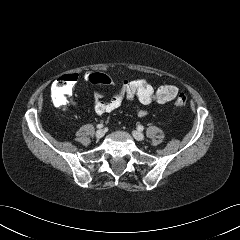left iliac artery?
Segmentation results:
<instances>
[{
    "instance_id": "obj_1",
    "label": "left iliac artery",
    "mask_w": 240,
    "mask_h": 240,
    "mask_svg": "<svg viewBox=\"0 0 240 240\" xmlns=\"http://www.w3.org/2000/svg\"><path fill=\"white\" fill-rule=\"evenodd\" d=\"M137 129H138L139 131H142V130L144 129V127H143L142 125H138Z\"/></svg>"
}]
</instances>
